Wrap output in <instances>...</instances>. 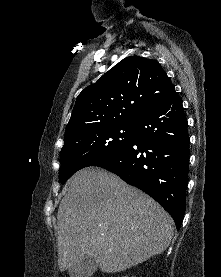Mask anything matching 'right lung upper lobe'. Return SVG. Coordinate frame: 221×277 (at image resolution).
<instances>
[{"mask_svg":"<svg viewBox=\"0 0 221 277\" xmlns=\"http://www.w3.org/2000/svg\"><path fill=\"white\" fill-rule=\"evenodd\" d=\"M173 91L172 82L157 61L126 57L79 94L65 140L96 126L133 124Z\"/></svg>","mask_w":221,"mask_h":277,"instance_id":"1","label":"right lung upper lobe"}]
</instances>
